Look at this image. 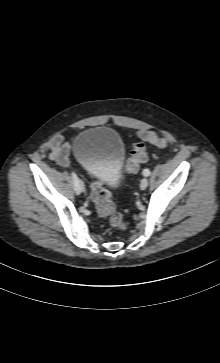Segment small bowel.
Segmentation results:
<instances>
[{"instance_id": "obj_1", "label": "small bowel", "mask_w": 220, "mask_h": 363, "mask_svg": "<svg viewBox=\"0 0 220 363\" xmlns=\"http://www.w3.org/2000/svg\"><path fill=\"white\" fill-rule=\"evenodd\" d=\"M70 147L63 141L62 136H56L51 143L50 158L62 167L70 165Z\"/></svg>"}]
</instances>
